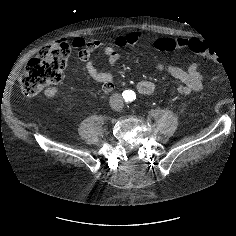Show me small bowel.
I'll use <instances>...</instances> for the list:
<instances>
[{"label": "small bowel", "mask_w": 236, "mask_h": 236, "mask_svg": "<svg viewBox=\"0 0 236 236\" xmlns=\"http://www.w3.org/2000/svg\"><path fill=\"white\" fill-rule=\"evenodd\" d=\"M141 38L142 35L138 32L119 35L115 38L114 45L104 47L102 53L108 58L111 65L116 66L121 59L119 48L134 45L138 43ZM193 40L202 41L198 38L190 37L178 38L173 41L175 47H189ZM72 43L75 48L81 49L78 53V59L84 64L87 75L94 81L102 84L103 92H112L115 88L113 76L109 73L99 71L92 60V55L100 48L101 42L97 39L86 40L77 37ZM155 69L177 79L180 82L178 92L181 95H189L192 92L200 91L203 87L205 76L200 73L198 63H192L187 70L171 64L158 63L155 65ZM136 88L139 93L149 95L157 91L158 86L154 82L142 80L137 83ZM57 91V87L51 86L46 89L45 96L53 98L57 95Z\"/></svg>", "instance_id": "small-bowel-1"}]
</instances>
